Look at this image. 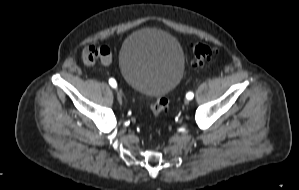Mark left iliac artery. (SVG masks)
Returning a JSON list of instances; mask_svg holds the SVG:
<instances>
[{
    "label": "left iliac artery",
    "mask_w": 299,
    "mask_h": 190,
    "mask_svg": "<svg viewBox=\"0 0 299 190\" xmlns=\"http://www.w3.org/2000/svg\"><path fill=\"white\" fill-rule=\"evenodd\" d=\"M193 97H194V94L192 92H188L186 94V98L189 99V100H191Z\"/></svg>",
    "instance_id": "1"
}]
</instances>
